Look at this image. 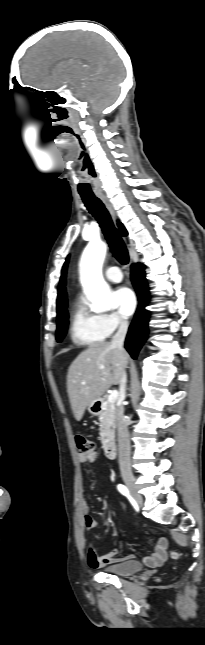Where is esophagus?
Here are the masks:
<instances>
[{"instance_id":"34e87169","label":"esophagus","mask_w":205,"mask_h":645,"mask_svg":"<svg viewBox=\"0 0 205 645\" xmlns=\"http://www.w3.org/2000/svg\"><path fill=\"white\" fill-rule=\"evenodd\" d=\"M99 197H100V199L103 201V203L105 204L106 208H107V209H108V211L110 212V214H111V216H112L113 220L115 221V220H116V214H115V211H114L113 206H112V204L110 203L109 199H108L105 195H103V194L99 195Z\"/></svg>"}]
</instances>
